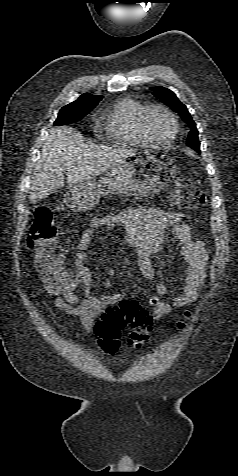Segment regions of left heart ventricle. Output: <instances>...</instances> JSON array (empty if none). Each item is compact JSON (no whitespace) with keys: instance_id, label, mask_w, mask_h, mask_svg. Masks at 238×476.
<instances>
[{"instance_id":"left-heart-ventricle-1","label":"left heart ventricle","mask_w":238,"mask_h":476,"mask_svg":"<svg viewBox=\"0 0 238 476\" xmlns=\"http://www.w3.org/2000/svg\"><path fill=\"white\" fill-rule=\"evenodd\" d=\"M150 133L158 140L169 139L174 131L172 120L161 110H153L147 119Z\"/></svg>"}]
</instances>
